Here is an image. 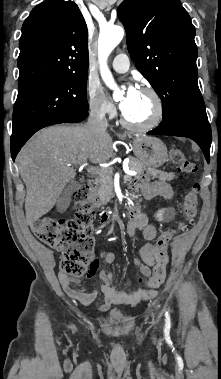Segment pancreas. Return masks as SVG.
<instances>
[{"mask_svg":"<svg viewBox=\"0 0 221 379\" xmlns=\"http://www.w3.org/2000/svg\"><path fill=\"white\" fill-rule=\"evenodd\" d=\"M129 168L137 173V176L143 174L145 171L147 174L153 176L154 178H159L162 181H171L175 178L173 172L167 173L161 170H157L151 167H147L137 158H130ZM130 180L131 177L129 176ZM95 187L92 188L91 194L94 197L99 198L102 203L110 202L114 197L113 190V170L111 168L105 169L102 175H99L95 180Z\"/></svg>","mask_w":221,"mask_h":379,"instance_id":"1","label":"pancreas"}]
</instances>
